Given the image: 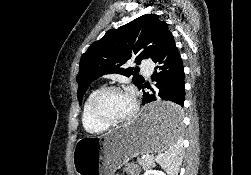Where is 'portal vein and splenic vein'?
I'll use <instances>...</instances> for the list:
<instances>
[{
  "label": "portal vein and splenic vein",
  "instance_id": "portal-vein-and-splenic-vein-1",
  "mask_svg": "<svg viewBox=\"0 0 251 175\" xmlns=\"http://www.w3.org/2000/svg\"><path fill=\"white\" fill-rule=\"evenodd\" d=\"M141 157H142V158H147V157H148V154H147V153H142V154H141Z\"/></svg>",
  "mask_w": 251,
  "mask_h": 175
}]
</instances>
